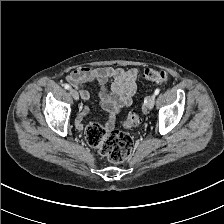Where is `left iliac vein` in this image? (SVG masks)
<instances>
[{
    "mask_svg": "<svg viewBox=\"0 0 224 224\" xmlns=\"http://www.w3.org/2000/svg\"><path fill=\"white\" fill-rule=\"evenodd\" d=\"M155 103V95H151L147 98V102L145 104V109L146 110H151L154 106Z\"/></svg>",
    "mask_w": 224,
    "mask_h": 224,
    "instance_id": "4c4485c4",
    "label": "left iliac vein"
}]
</instances>
